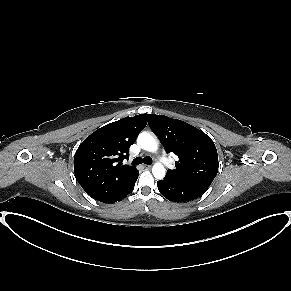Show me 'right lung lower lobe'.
<instances>
[{
    "label": "right lung lower lobe",
    "instance_id": "obj_1",
    "mask_svg": "<svg viewBox=\"0 0 291 291\" xmlns=\"http://www.w3.org/2000/svg\"><path fill=\"white\" fill-rule=\"evenodd\" d=\"M138 175H139V172H137L135 177L129 183H127L119 192L115 193L114 195H112L104 200H101V202L114 203V202L120 201L123 198H125L128 194H130L133 191L134 184H135L136 180L138 179Z\"/></svg>",
    "mask_w": 291,
    "mask_h": 291
}]
</instances>
